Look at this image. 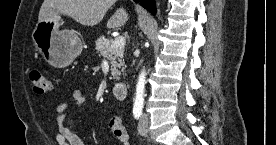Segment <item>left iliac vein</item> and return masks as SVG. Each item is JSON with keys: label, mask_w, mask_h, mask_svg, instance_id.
Returning a JSON list of instances; mask_svg holds the SVG:
<instances>
[{"label": "left iliac vein", "mask_w": 276, "mask_h": 145, "mask_svg": "<svg viewBox=\"0 0 276 145\" xmlns=\"http://www.w3.org/2000/svg\"><path fill=\"white\" fill-rule=\"evenodd\" d=\"M138 132L142 136L148 133V116L146 114H143L139 120Z\"/></svg>", "instance_id": "obj_1"}]
</instances>
